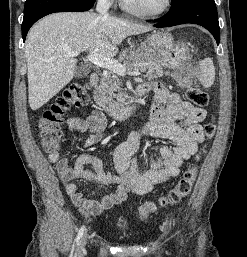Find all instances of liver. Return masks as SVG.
Segmentation results:
<instances>
[{
    "label": "liver",
    "instance_id": "obj_1",
    "mask_svg": "<svg viewBox=\"0 0 247 257\" xmlns=\"http://www.w3.org/2000/svg\"><path fill=\"white\" fill-rule=\"evenodd\" d=\"M150 30L139 23L93 12L44 17L31 28L25 45L31 109L42 107L72 80L78 61L67 55L66 49L94 51L111 58L127 36Z\"/></svg>",
    "mask_w": 247,
    "mask_h": 257
}]
</instances>
